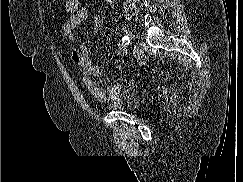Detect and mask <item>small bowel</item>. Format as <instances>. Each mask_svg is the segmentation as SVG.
Returning a JSON list of instances; mask_svg holds the SVG:
<instances>
[{"label":"small bowel","instance_id":"1","mask_svg":"<svg viewBox=\"0 0 243 182\" xmlns=\"http://www.w3.org/2000/svg\"><path fill=\"white\" fill-rule=\"evenodd\" d=\"M88 13L85 8L67 17L62 24V32L68 39L71 47V59L78 67L82 74V83L87 87L90 94L99 101H114L123 91L124 86L121 81L116 82L108 89H101L94 77L101 72V66L94 63L89 55L86 47L76 41L74 31L76 27L87 19ZM127 53V48L123 44L118 45L117 56L123 57ZM134 57L140 64H144V56L140 50L134 51Z\"/></svg>","mask_w":243,"mask_h":182}]
</instances>
